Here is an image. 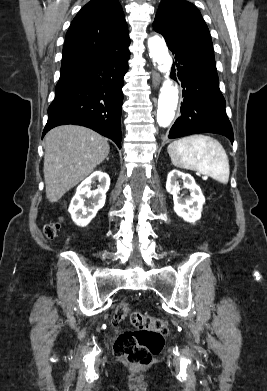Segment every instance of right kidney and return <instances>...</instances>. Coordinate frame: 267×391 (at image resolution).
Masks as SVG:
<instances>
[{
    "label": "right kidney",
    "mask_w": 267,
    "mask_h": 391,
    "mask_svg": "<svg viewBox=\"0 0 267 391\" xmlns=\"http://www.w3.org/2000/svg\"><path fill=\"white\" fill-rule=\"evenodd\" d=\"M96 181L99 182L96 190H91L90 186ZM110 186L108 174L96 171L86 178L78 187L69 206V212L73 221L79 226H87L101 209L106 200V192ZM85 198L90 199L86 202Z\"/></svg>",
    "instance_id": "right-kidney-1"
}]
</instances>
